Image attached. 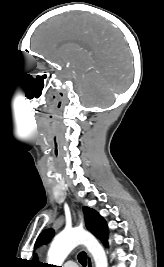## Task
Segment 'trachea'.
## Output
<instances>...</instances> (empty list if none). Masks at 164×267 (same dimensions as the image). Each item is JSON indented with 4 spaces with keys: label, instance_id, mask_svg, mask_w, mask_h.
Returning <instances> with one entry per match:
<instances>
[{
    "label": "trachea",
    "instance_id": "3493384b",
    "mask_svg": "<svg viewBox=\"0 0 164 267\" xmlns=\"http://www.w3.org/2000/svg\"><path fill=\"white\" fill-rule=\"evenodd\" d=\"M78 260L81 263V265L85 267L86 264H87V255H86V253L85 252H80L78 254Z\"/></svg>",
    "mask_w": 164,
    "mask_h": 267
}]
</instances>
